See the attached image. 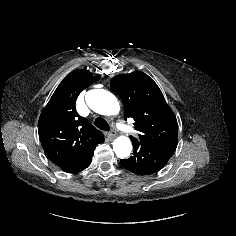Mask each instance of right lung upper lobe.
<instances>
[{
  "label": "right lung upper lobe",
  "instance_id": "1",
  "mask_svg": "<svg viewBox=\"0 0 236 236\" xmlns=\"http://www.w3.org/2000/svg\"><path fill=\"white\" fill-rule=\"evenodd\" d=\"M100 76L83 69L69 73L42 110L38 122L39 139L45 155L54 164L78 156L104 141L103 134L75 107L78 95Z\"/></svg>",
  "mask_w": 236,
  "mask_h": 236
}]
</instances>
